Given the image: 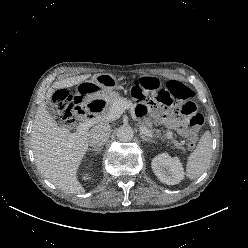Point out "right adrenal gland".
Segmentation results:
<instances>
[{
  "instance_id": "right-adrenal-gland-1",
  "label": "right adrenal gland",
  "mask_w": 248,
  "mask_h": 248,
  "mask_svg": "<svg viewBox=\"0 0 248 248\" xmlns=\"http://www.w3.org/2000/svg\"><path fill=\"white\" fill-rule=\"evenodd\" d=\"M102 148H94V149H88V151L96 152L99 154L101 152Z\"/></svg>"
}]
</instances>
